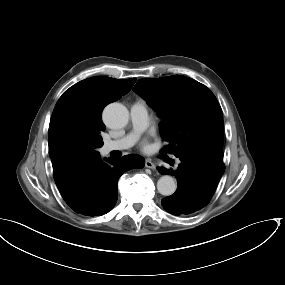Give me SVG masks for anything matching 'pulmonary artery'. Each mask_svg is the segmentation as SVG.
Returning a JSON list of instances; mask_svg holds the SVG:
<instances>
[{"label": "pulmonary artery", "instance_id": "obj_1", "mask_svg": "<svg viewBox=\"0 0 285 285\" xmlns=\"http://www.w3.org/2000/svg\"><path fill=\"white\" fill-rule=\"evenodd\" d=\"M130 120L133 127L132 132L121 138L105 141L103 153L121 151L131 147L136 141L138 134L147 127L148 113L146 105L142 100H138L131 105Z\"/></svg>", "mask_w": 285, "mask_h": 285}]
</instances>
